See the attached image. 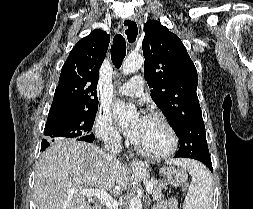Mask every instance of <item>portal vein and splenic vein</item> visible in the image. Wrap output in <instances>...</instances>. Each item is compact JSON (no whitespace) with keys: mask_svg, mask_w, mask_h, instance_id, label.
I'll list each match as a JSON object with an SVG mask.
<instances>
[{"mask_svg":"<svg viewBox=\"0 0 253 209\" xmlns=\"http://www.w3.org/2000/svg\"><path fill=\"white\" fill-rule=\"evenodd\" d=\"M153 189V182H149L146 187L147 192H151ZM84 196L91 198L96 197L99 199L108 209H117L118 203L106 192L104 189H79L76 190ZM71 192H75V190H71Z\"/></svg>","mask_w":253,"mask_h":209,"instance_id":"obj_1","label":"portal vein and splenic vein"}]
</instances>
